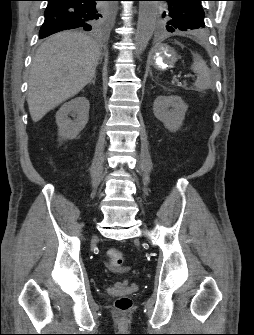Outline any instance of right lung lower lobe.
Here are the masks:
<instances>
[{"instance_id": "right-lung-lower-lobe-1", "label": "right lung lower lobe", "mask_w": 254, "mask_h": 335, "mask_svg": "<svg viewBox=\"0 0 254 335\" xmlns=\"http://www.w3.org/2000/svg\"><path fill=\"white\" fill-rule=\"evenodd\" d=\"M47 1L45 20L39 32L40 39L66 29L91 30L95 27L99 13L96 1L100 0Z\"/></svg>"}]
</instances>
